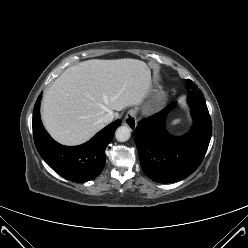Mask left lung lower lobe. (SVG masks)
<instances>
[{
  "label": "left lung lower lobe",
  "instance_id": "left-lung-lower-lobe-1",
  "mask_svg": "<svg viewBox=\"0 0 248 248\" xmlns=\"http://www.w3.org/2000/svg\"><path fill=\"white\" fill-rule=\"evenodd\" d=\"M175 104L141 120L134 134L143 171L159 183L175 182L193 173L201 164L211 138V119L200 90L188 94L194 123L182 137L171 136L165 129L166 115Z\"/></svg>",
  "mask_w": 248,
  "mask_h": 248
}]
</instances>
